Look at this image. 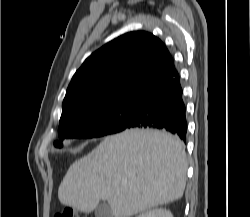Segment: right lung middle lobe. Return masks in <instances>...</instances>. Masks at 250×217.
I'll use <instances>...</instances> for the list:
<instances>
[{
    "mask_svg": "<svg viewBox=\"0 0 250 217\" xmlns=\"http://www.w3.org/2000/svg\"><path fill=\"white\" fill-rule=\"evenodd\" d=\"M136 105V100H130L77 113L60 122L59 141L54 146L61 148L65 139L97 138L123 131L131 122Z\"/></svg>",
    "mask_w": 250,
    "mask_h": 217,
    "instance_id": "dd1d6c3e",
    "label": "right lung middle lobe"
}]
</instances>
